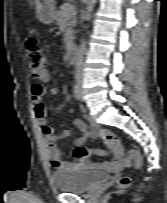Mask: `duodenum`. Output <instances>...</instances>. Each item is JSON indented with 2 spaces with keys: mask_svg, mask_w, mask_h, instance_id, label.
Here are the masks:
<instances>
[{
  "mask_svg": "<svg viewBox=\"0 0 167 203\" xmlns=\"http://www.w3.org/2000/svg\"><path fill=\"white\" fill-rule=\"evenodd\" d=\"M66 60L69 63H73L76 59L75 47L73 45H69L66 49L65 53Z\"/></svg>",
  "mask_w": 167,
  "mask_h": 203,
  "instance_id": "obj_1",
  "label": "duodenum"
}]
</instances>
